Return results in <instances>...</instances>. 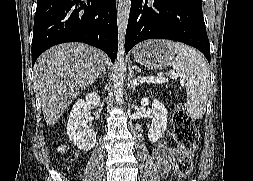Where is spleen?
Wrapping results in <instances>:
<instances>
[{
  "label": "spleen",
  "instance_id": "1",
  "mask_svg": "<svg viewBox=\"0 0 253 181\" xmlns=\"http://www.w3.org/2000/svg\"><path fill=\"white\" fill-rule=\"evenodd\" d=\"M167 47L173 51L174 58L170 63L175 73L186 86V109L190 117H203L206 110L210 88V70L207 60L193 47L183 43L168 41Z\"/></svg>",
  "mask_w": 253,
  "mask_h": 181
}]
</instances>
